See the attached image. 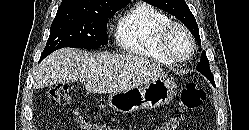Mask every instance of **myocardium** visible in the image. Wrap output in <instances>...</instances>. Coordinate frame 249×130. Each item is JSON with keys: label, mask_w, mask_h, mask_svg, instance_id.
I'll list each match as a JSON object with an SVG mask.
<instances>
[{"label": "myocardium", "mask_w": 249, "mask_h": 130, "mask_svg": "<svg viewBox=\"0 0 249 130\" xmlns=\"http://www.w3.org/2000/svg\"><path fill=\"white\" fill-rule=\"evenodd\" d=\"M177 31L184 33L190 42V46H191L190 53L188 56H186L184 58H180V57L176 56L172 52L171 47H170L171 38L174 35V33ZM159 47H160L162 53L168 59H170L172 62L183 63V62L189 61L193 57V55L195 54L196 42H195V39H194L192 33L185 25L178 23V22L171 21L160 32Z\"/></svg>", "instance_id": "myocardium-1"}]
</instances>
